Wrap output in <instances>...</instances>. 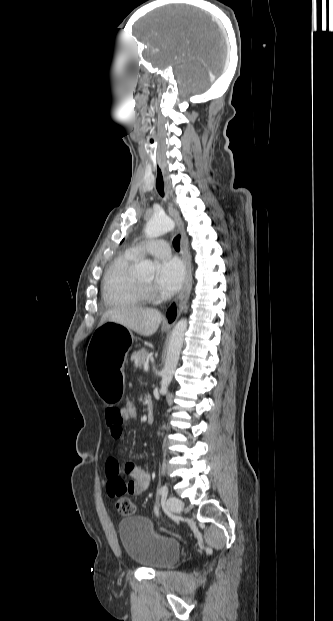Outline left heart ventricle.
Listing matches in <instances>:
<instances>
[{
    "mask_svg": "<svg viewBox=\"0 0 333 621\" xmlns=\"http://www.w3.org/2000/svg\"><path fill=\"white\" fill-rule=\"evenodd\" d=\"M153 282V278H147V279H143L142 283L146 284V285H151Z\"/></svg>",
    "mask_w": 333,
    "mask_h": 621,
    "instance_id": "1",
    "label": "left heart ventricle"
}]
</instances>
